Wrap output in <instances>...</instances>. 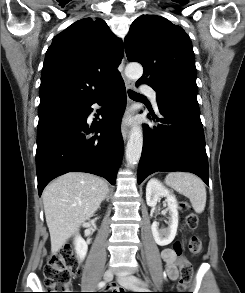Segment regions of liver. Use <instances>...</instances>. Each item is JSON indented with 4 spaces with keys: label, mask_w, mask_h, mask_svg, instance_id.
Here are the masks:
<instances>
[{
    "label": "liver",
    "mask_w": 245,
    "mask_h": 293,
    "mask_svg": "<svg viewBox=\"0 0 245 293\" xmlns=\"http://www.w3.org/2000/svg\"><path fill=\"white\" fill-rule=\"evenodd\" d=\"M108 192V184L102 178L80 172L64 174L44 189L42 198L52 254L98 210Z\"/></svg>",
    "instance_id": "obj_1"
}]
</instances>
